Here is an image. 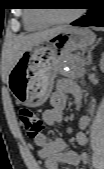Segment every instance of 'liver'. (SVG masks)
Returning <instances> with one entry per match:
<instances>
[{
  "instance_id": "liver-1",
  "label": "liver",
  "mask_w": 104,
  "mask_h": 169,
  "mask_svg": "<svg viewBox=\"0 0 104 169\" xmlns=\"http://www.w3.org/2000/svg\"><path fill=\"white\" fill-rule=\"evenodd\" d=\"M67 28L68 26H58V27L38 31L35 33L19 35L16 38L13 49H12V54L10 58V68L12 69V67L16 64V62L19 60L21 55L26 50H29L39 45L42 41H44L48 37L58 32H61Z\"/></svg>"
}]
</instances>
